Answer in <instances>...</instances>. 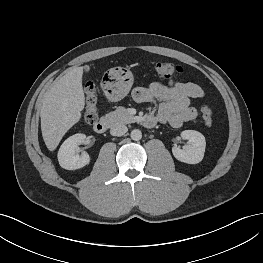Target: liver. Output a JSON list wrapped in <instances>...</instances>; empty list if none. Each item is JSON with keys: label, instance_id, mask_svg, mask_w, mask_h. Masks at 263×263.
I'll use <instances>...</instances> for the list:
<instances>
[{"label": "liver", "instance_id": "6515ba94", "mask_svg": "<svg viewBox=\"0 0 263 263\" xmlns=\"http://www.w3.org/2000/svg\"><path fill=\"white\" fill-rule=\"evenodd\" d=\"M83 67L74 66L46 91L40 108L44 142L54 151L66 132L81 119L85 106Z\"/></svg>", "mask_w": 263, "mask_h": 263}]
</instances>
